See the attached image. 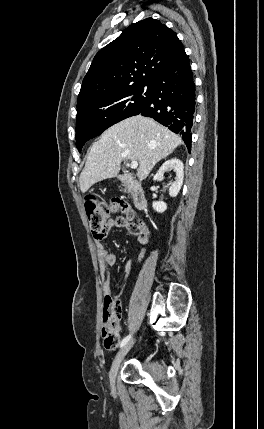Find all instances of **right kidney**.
<instances>
[{"mask_svg": "<svg viewBox=\"0 0 264 429\" xmlns=\"http://www.w3.org/2000/svg\"><path fill=\"white\" fill-rule=\"evenodd\" d=\"M173 170L176 174L174 182L169 187V195L171 197H176L182 187L183 178H184V165L181 160L177 158H172L167 160L160 167L156 175L154 176V181H161L164 178V174L167 171ZM153 209L158 213H163L167 209V204L163 201L153 202Z\"/></svg>", "mask_w": 264, "mask_h": 429, "instance_id": "1", "label": "right kidney"}]
</instances>
